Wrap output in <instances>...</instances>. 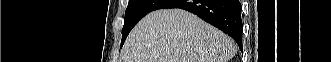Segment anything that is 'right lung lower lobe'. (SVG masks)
I'll use <instances>...</instances> for the list:
<instances>
[{
	"instance_id": "98d812e1",
	"label": "right lung lower lobe",
	"mask_w": 331,
	"mask_h": 62,
	"mask_svg": "<svg viewBox=\"0 0 331 62\" xmlns=\"http://www.w3.org/2000/svg\"><path fill=\"white\" fill-rule=\"evenodd\" d=\"M180 8L231 36L242 48V5L239 0H172L164 8Z\"/></svg>"
}]
</instances>
